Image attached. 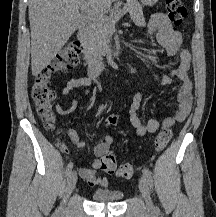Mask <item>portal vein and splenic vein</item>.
Segmentation results:
<instances>
[{
	"label": "portal vein and splenic vein",
	"mask_w": 216,
	"mask_h": 217,
	"mask_svg": "<svg viewBox=\"0 0 216 217\" xmlns=\"http://www.w3.org/2000/svg\"><path fill=\"white\" fill-rule=\"evenodd\" d=\"M80 10L83 14H85L89 19L93 21H99L103 19V15H101L98 11H94L89 8L88 5L86 4H81L80 5ZM128 11V8L125 6L123 9H121L115 16V21L114 23L120 19L126 12Z\"/></svg>",
	"instance_id": "portal-vein-and-splenic-vein-1"
}]
</instances>
